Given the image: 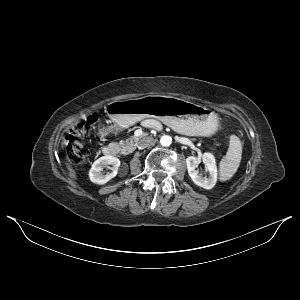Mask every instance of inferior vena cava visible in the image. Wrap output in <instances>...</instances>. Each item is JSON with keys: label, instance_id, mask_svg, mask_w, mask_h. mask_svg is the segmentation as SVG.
Wrapping results in <instances>:
<instances>
[{"label": "inferior vena cava", "instance_id": "602c4592", "mask_svg": "<svg viewBox=\"0 0 300 300\" xmlns=\"http://www.w3.org/2000/svg\"><path fill=\"white\" fill-rule=\"evenodd\" d=\"M154 144V140L153 138H150V137H145V138H142L139 142H138V148L139 149H144L150 145H153Z\"/></svg>", "mask_w": 300, "mask_h": 300}]
</instances>
